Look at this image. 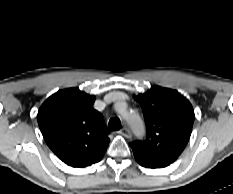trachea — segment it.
Here are the masks:
<instances>
[{"instance_id":"1","label":"trachea","mask_w":233,"mask_h":194,"mask_svg":"<svg viewBox=\"0 0 233 194\" xmlns=\"http://www.w3.org/2000/svg\"><path fill=\"white\" fill-rule=\"evenodd\" d=\"M108 126H109V129H110L111 131H117V130H119V129L121 128L120 119L117 118V117L111 118V119L109 120Z\"/></svg>"}]
</instances>
